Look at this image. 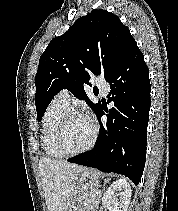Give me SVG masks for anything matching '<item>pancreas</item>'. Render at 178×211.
I'll return each mask as SVG.
<instances>
[{
    "instance_id": "pancreas-1",
    "label": "pancreas",
    "mask_w": 178,
    "mask_h": 211,
    "mask_svg": "<svg viewBox=\"0 0 178 211\" xmlns=\"http://www.w3.org/2000/svg\"><path fill=\"white\" fill-rule=\"evenodd\" d=\"M100 200V195L97 194L96 190H91L89 194L86 195L85 200L79 211H95Z\"/></svg>"
}]
</instances>
